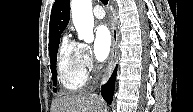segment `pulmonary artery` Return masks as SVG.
Instances as JSON below:
<instances>
[{
    "instance_id": "pulmonary-artery-1",
    "label": "pulmonary artery",
    "mask_w": 193,
    "mask_h": 112,
    "mask_svg": "<svg viewBox=\"0 0 193 112\" xmlns=\"http://www.w3.org/2000/svg\"><path fill=\"white\" fill-rule=\"evenodd\" d=\"M93 15L96 19H103L105 16V12L101 6L97 5L93 9Z\"/></svg>"
}]
</instances>
